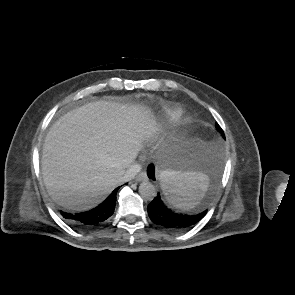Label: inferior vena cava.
Segmentation results:
<instances>
[{
	"instance_id": "inferior-vena-cava-1",
	"label": "inferior vena cava",
	"mask_w": 295,
	"mask_h": 295,
	"mask_svg": "<svg viewBox=\"0 0 295 295\" xmlns=\"http://www.w3.org/2000/svg\"><path fill=\"white\" fill-rule=\"evenodd\" d=\"M141 170V165L137 163H133L128 167L124 175L122 176V181H129L135 177L137 173H139Z\"/></svg>"
}]
</instances>
